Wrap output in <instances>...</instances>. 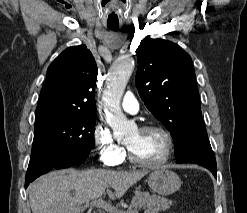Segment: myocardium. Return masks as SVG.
Wrapping results in <instances>:
<instances>
[{
    "label": "myocardium",
    "mask_w": 247,
    "mask_h": 213,
    "mask_svg": "<svg viewBox=\"0 0 247 213\" xmlns=\"http://www.w3.org/2000/svg\"><path fill=\"white\" fill-rule=\"evenodd\" d=\"M139 131L141 132H149V131H156L159 132L165 141V152L162 158L156 162H144L140 159H138L131 149L126 145L128 159L131 163H133L136 166L143 167V168H149V169H155L159 168L163 165H165L171 158L173 149H174V141L171 136V134L162 126L155 125V124H149L144 125L139 128Z\"/></svg>",
    "instance_id": "f54148a6"
}]
</instances>
